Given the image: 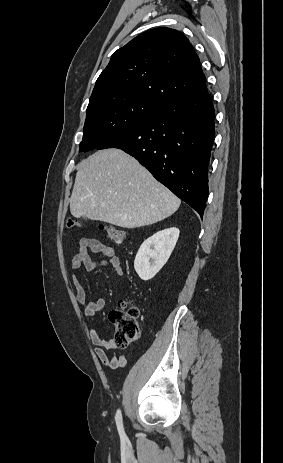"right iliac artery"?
<instances>
[{"instance_id":"right-iliac-artery-1","label":"right iliac artery","mask_w":283,"mask_h":463,"mask_svg":"<svg viewBox=\"0 0 283 463\" xmlns=\"http://www.w3.org/2000/svg\"><path fill=\"white\" fill-rule=\"evenodd\" d=\"M115 420H116L119 435H120L121 438H124L125 437V432H124V428H123V424H122V414H121L120 410L117 411L116 416H115Z\"/></svg>"}]
</instances>
